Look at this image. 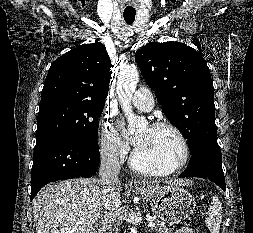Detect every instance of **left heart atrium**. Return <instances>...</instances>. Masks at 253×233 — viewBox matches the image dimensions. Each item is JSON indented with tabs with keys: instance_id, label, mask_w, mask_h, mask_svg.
Listing matches in <instances>:
<instances>
[{
	"instance_id": "39dd6f15",
	"label": "left heart atrium",
	"mask_w": 253,
	"mask_h": 233,
	"mask_svg": "<svg viewBox=\"0 0 253 233\" xmlns=\"http://www.w3.org/2000/svg\"><path fill=\"white\" fill-rule=\"evenodd\" d=\"M140 141H141V138H140V137H136V138H134V140H133V142H134V144H135L136 146L139 145Z\"/></svg>"
}]
</instances>
